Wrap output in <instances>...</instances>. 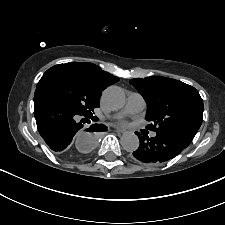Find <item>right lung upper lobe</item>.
<instances>
[{
  "mask_svg": "<svg viewBox=\"0 0 225 225\" xmlns=\"http://www.w3.org/2000/svg\"><path fill=\"white\" fill-rule=\"evenodd\" d=\"M64 69L69 70L83 79L96 94L101 96V92L109 85L119 81V78L103 71L100 67L92 63L70 62L59 64Z\"/></svg>",
  "mask_w": 225,
  "mask_h": 225,
  "instance_id": "obj_1",
  "label": "right lung upper lobe"
}]
</instances>
